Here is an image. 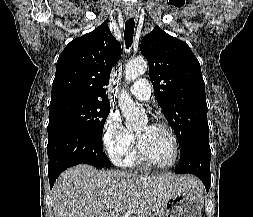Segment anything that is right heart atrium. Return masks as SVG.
I'll list each match as a JSON object with an SVG mask.
<instances>
[{
    "mask_svg": "<svg viewBox=\"0 0 253 217\" xmlns=\"http://www.w3.org/2000/svg\"><path fill=\"white\" fill-rule=\"evenodd\" d=\"M134 142V134L123 125L120 116L109 113L104 125L103 143L111 159L120 163Z\"/></svg>",
    "mask_w": 253,
    "mask_h": 217,
    "instance_id": "d8ad5b80",
    "label": "right heart atrium"
}]
</instances>
